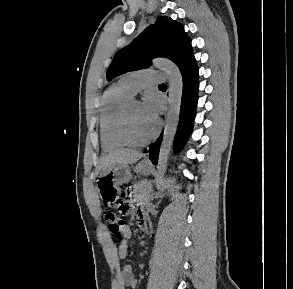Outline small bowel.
I'll list each match as a JSON object with an SVG mask.
<instances>
[{"mask_svg":"<svg viewBox=\"0 0 293 289\" xmlns=\"http://www.w3.org/2000/svg\"><path fill=\"white\" fill-rule=\"evenodd\" d=\"M138 217L142 223L143 220H145V215L143 212H139ZM132 235L131 229L129 225H125L121 239L119 241L118 246V255L119 258L125 259L128 256V240L130 239ZM118 284L119 289H135L137 286V279L134 276L133 268L131 265H125L123 266L121 273L118 277Z\"/></svg>","mask_w":293,"mask_h":289,"instance_id":"small-bowel-1","label":"small bowel"}]
</instances>
